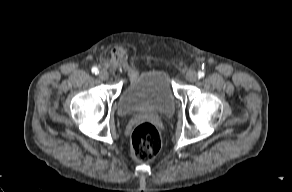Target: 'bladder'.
Instances as JSON below:
<instances>
[{"label": "bladder", "instance_id": "31cf9c89", "mask_svg": "<svg viewBox=\"0 0 292 192\" xmlns=\"http://www.w3.org/2000/svg\"><path fill=\"white\" fill-rule=\"evenodd\" d=\"M174 107L171 81L163 70H149L132 76L117 102L120 116L137 113L170 115Z\"/></svg>", "mask_w": 292, "mask_h": 192}]
</instances>
